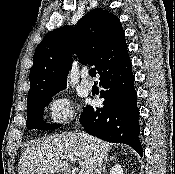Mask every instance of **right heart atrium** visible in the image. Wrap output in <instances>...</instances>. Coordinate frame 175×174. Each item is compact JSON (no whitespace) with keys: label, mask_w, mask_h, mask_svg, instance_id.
Wrapping results in <instances>:
<instances>
[{"label":"right heart atrium","mask_w":175,"mask_h":174,"mask_svg":"<svg viewBox=\"0 0 175 174\" xmlns=\"http://www.w3.org/2000/svg\"><path fill=\"white\" fill-rule=\"evenodd\" d=\"M49 118L53 123H63L70 120L73 116V107L67 97L54 98L48 109Z\"/></svg>","instance_id":"d8ad5b80"}]
</instances>
